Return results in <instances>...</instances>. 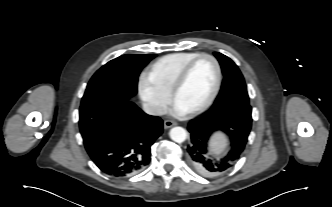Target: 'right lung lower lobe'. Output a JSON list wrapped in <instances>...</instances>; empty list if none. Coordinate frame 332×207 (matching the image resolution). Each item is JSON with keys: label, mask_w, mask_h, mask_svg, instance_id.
<instances>
[{"label": "right lung lower lobe", "mask_w": 332, "mask_h": 207, "mask_svg": "<svg viewBox=\"0 0 332 207\" xmlns=\"http://www.w3.org/2000/svg\"><path fill=\"white\" fill-rule=\"evenodd\" d=\"M80 132L98 168L113 177L144 169L150 148L162 134L163 121L150 116L124 97L110 96L81 105Z\"/></svg>", "instance_id": "1"}]
</instances>
